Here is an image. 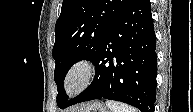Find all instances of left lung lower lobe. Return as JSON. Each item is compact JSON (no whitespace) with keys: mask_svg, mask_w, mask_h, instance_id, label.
I'll use <instances>...</instances> for the list:
<instances>
[{"mask_svg":"<svg viewBox=\"0 0 193 112\" xmlns=\"http://www.w3.org/2000/svg\"><path fill=\"white\" fill-rule=\"evenodd\" d=\"M92 62L93 82L62 108L106 98L154 112L157 55L150 0L131 2L110 28Z\"/></svg>","mask_w":193,"mask_h":112,"instance_id":"left-lung-lower-lobe-1","label":"left lung lower lobe"}]
</instances>
